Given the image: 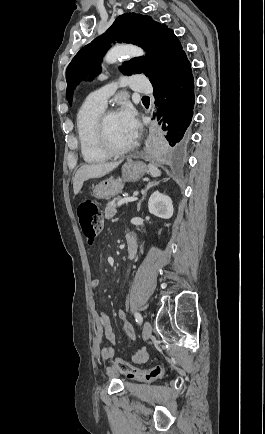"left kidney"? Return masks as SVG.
Wrapping results in <instances>:
<instances>
[{
    "instance_id": "1",
    "label": "left kidney",
    "mask_w": 265,
    "mask_h": 434,
    "mask_svg": "<svg viewBox=\"0 0 265 434\" xmlns=\"http://www.w3.org/2000/svg\"><path fill=\"white\" fill-rule=\"evenodd\" d=\"M148 210L153 216L169 220L173 216L172 200L169 196H163L160 192H154L149 198Z\"/></svg>"
}]
</instances>
